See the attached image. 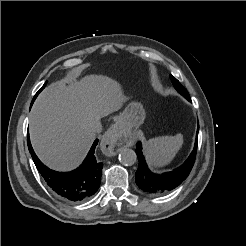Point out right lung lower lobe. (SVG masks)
<instances>
[{
  "label": "right lung lower lobe",
  "instance_id": "1",
  "mask_svg": "<svg viewBox=\"0 0 246 246\" xmlns=\"http://www.w3.org/2000/svg\"><path fill=\"white\" fill-rule=\"evenodd\" d=\"M27 143L38 171L47 185L61 199L77 203L88 199L98 190L103 163L98 162L94 156L95 147L98 143L97 139L94 141L84 162L72 172H56L49 169L36 156L31 146L29 135L27 136Z\"/></svg>",
  "mask_w": 246,
  "mask_h": 246
}]
</instances>
